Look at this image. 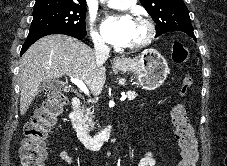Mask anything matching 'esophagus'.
<instances>
[{"label": "esophagus", "instance_id": "34e87169", "mask_svg": "<svg viewBox=\"0 0 227 166\" xmlns=\"http://www.w3.org/2000/svg\"><path fill=\"white\" fill-rule=\"evenodd\" d=\"M123 63V60L119 57H114L113 59V64L115 65H119V64H122Z\"/></svg>", "mask_w": 227, "mask_h": 166}]
</instances>
